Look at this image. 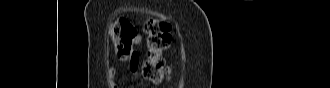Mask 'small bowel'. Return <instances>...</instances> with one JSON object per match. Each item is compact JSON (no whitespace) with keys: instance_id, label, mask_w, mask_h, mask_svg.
I'll use <instances>...</instances> for the list:
<instances>
[{"instance_id":"small-bowel-1","label":"small bowel","mask_w":330,"mask_h":88,"mask_svg":"<svg viewBox=\"0 0 330 88\" xmlns=\"http://www.w3.org/2000/svg\"><path fill=\"white\" fill-rule=\"evenodd\" d=\"M142 42V37L140 34H136L134 39H133V45H139ZM126 61H128L130 63V69L131 71L136 74L137 69H138V62H139V58L138 55L135 53L132 57H130L129 59H124ZM117 75V70L116 68L112 67L109 69L108 71V79L110 82V85L112 88H118L117 83L115 82V77Z\"/></svg>"}]
</instances>
